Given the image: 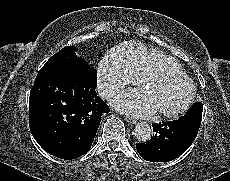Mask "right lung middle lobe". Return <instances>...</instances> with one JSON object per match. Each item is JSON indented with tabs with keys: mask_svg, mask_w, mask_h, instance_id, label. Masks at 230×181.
Masks as SVG:
<instances>
[{
	"mask_svg": "<svg viewBox=\"0 0 230 181\" xmlns=\"http://www.w3.org/2000/svg\"><path fill=\"white\" fill-rule=\"evenodd\" d=\"M76 50L75 46H66L46 62L37 76L86 72L90 79L96 82L97 71L94 68H90L83 58L77 56Z\"/></svg>",
	"mask_w": 230,
	"mask_h": 181,
	"instance_id": "right-lung-middle-lobe-1",
	"label": "right lung middle lobe"
}]
</instances>
